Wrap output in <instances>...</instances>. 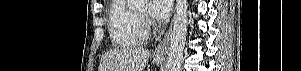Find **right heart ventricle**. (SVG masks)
Instances as JSON below:
<instances>
[{
	"mask_svg": "<svg viewBox=\"0 0 301 71\" xmlns=\"http://www.w3.org/2000/svg\"><path fill=\"white\" fill-rule=\"evenodd\" d=\"M108 29L112 43L118 47L140 46L148 39V32L129 0L113 2L108 17Z\"/></svg>",
	"mask_w": 301,
	"mask_h": 71,
	"instance_id": "1",
	"label": "right heart ventricle"
}]
</instances>
